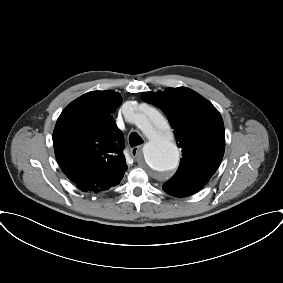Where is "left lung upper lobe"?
<instances>
[{
	"mask_svg": "<svg viewBox=\"0 0 283 283\" xmlns=\"http://www.w3.org/2000/svg\"><path fill=\"white\" fill-rule=\"evenodd\" d=\"M143 100L166 114L182 159L175 175L164 185L186 184L203 188L218 169L225 149L220 113L204 97L186 88L144 92Z\"/></svg>",
	"mask_w": 283,
	"mask_h": 283,
	"instance_id": "1",
	"label": "left lung upper lobe"
}]
</instances>
